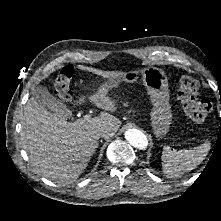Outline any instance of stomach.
I'll list each match as a JSON object with an SVG mask.
<instances>
[{
  "label": "stomach",
  "mask_w": 221,
  "mask_h": 221,
  "mask_svg": "<svg viewBox=\"0 0 221 221\" xmlns=\"http://www.w3.org/2000/svg\"><path fill=\"white\" fill-rule=\"evenodd\" d=\"M139 75L142 76L143 84L147 89L153 106L150 114L152 130L157 137H164L169 131L172 118L168 80L164 71L156 67H148L140 71L124 72L117 78L107 79L101 84L98 91L109 92L118 87L123 81L133 83Z\"/></svg>",
  "instance_id": "1"
}]
</instances>
